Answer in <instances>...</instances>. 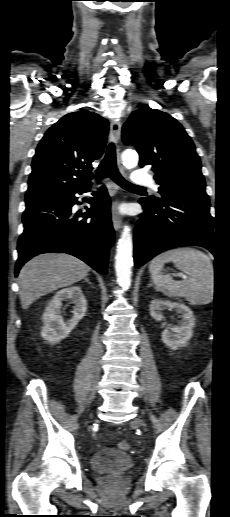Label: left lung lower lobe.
<instances>
[{"label":"left lung lower lobe","instance_id":"0a47b994","mask_svg":"<svg viewBox=\"0 0 230 517\" xmlns=\"http://www.w3.org/2000/svg\"><path fill=\"white\" fill-rule=\"evenodd\" d=\"M140 203L145 213L137 222L134 234L136 267L180 246H201L216 255L207 195H179L160 204L142 198Z\"/></svg>","mask_w":230,"mask_h":517}]
</instances>
